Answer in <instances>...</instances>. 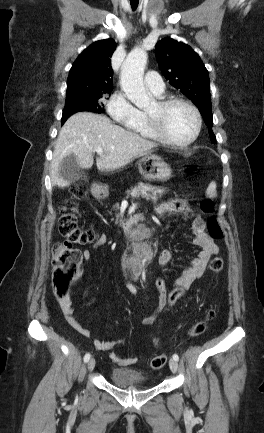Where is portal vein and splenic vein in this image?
Wrapping results in <instances>:
<instances>
[{
  "label": "portal vein and splenic vein",
  "instance_id": "18ae733b",
  "mask_svg": "<svg viewBox=\"0 0 264 433\" xmlns=\"http://www.w3.org/2000/svg\"><path fill=\"white\" fill-rule=\"evenodd\" d=\"M95 152H96L97 154H99V155H101V154L104 153V151H103L102 148H97V149H95Z\"/></svg>",
  "mask_w": 264,
  "mask_h": 433
}]
</instances>
